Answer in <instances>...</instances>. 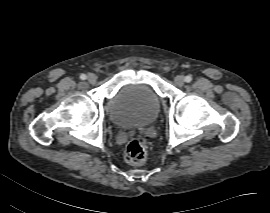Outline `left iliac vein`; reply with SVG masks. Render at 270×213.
Masks as SVG:
<instances>
[{
	"label": "left iliac vein",
	"instance_id": "obj_1",
	"mask_svg": "<svg viewBox=\"0 0 270 213\" xmlns=\"http://www.w3.org/2000/svg\"><path fill=\"white\" fill-rule=\"evenodd\" d=\"M184 77L183 76H180V75H178V76H176L175 78H174V83L177 85V86H182L183 84H184Z\"/></svg>",
	"mask_w": 270,
	"mask_h": 213
}]
</instances>
